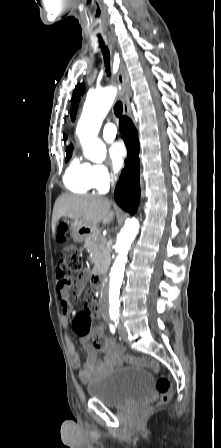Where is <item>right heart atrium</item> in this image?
Instances as JSON below:
<instances>
[{
    "mask_svg": "<svg viewBox=\"0 0 221 448\" xmlns=\"http://www.w3.org/2000/svg\"><path fill=\"white\" fill-rule=\"evenodd\" d=\"M115 175L103 164L91 166V180L94 187L100 191L105 190L113 183Z\"/></svg>",
    "mask_w": 221,
    "mask_h": 448,
    "instance_id": "d8ad5b80",
    "label": "right heart atrium"
}]
</instances>
